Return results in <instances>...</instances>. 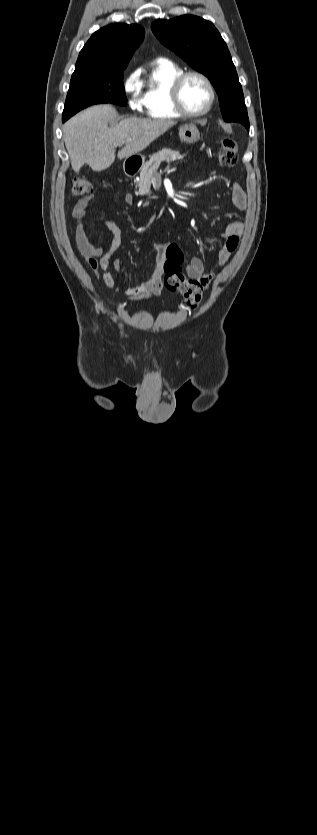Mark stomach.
Segmentation results:
<instances>
[{
    "mask_svg": "<svg viewBox=\"0 0 317 835\" xmlns=\"http://www.w3.org/2000/svg\"><path fill=\"white\" fill-rule=\"evenodd\" d=\"M179 137L182 142H185L187 144H194L200 139V132L194 124H184L179 127ZM133 157L139 163H141L145 159L142 155H135Z\"/></svg>",
    "mask_w": 317,
    "mask_h": 835,
    "instance_id": "obj_1",
    "label": "stomach"
}]
</instances>
